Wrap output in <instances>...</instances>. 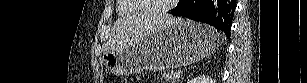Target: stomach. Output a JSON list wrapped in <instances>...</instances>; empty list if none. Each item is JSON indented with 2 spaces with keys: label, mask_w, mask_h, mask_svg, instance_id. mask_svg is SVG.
<instances>
[{
  "label": "stomach",
  "mask_w": 307,
  "mask_h": 83,
  "mask_svg": "<svg viewBox=\"0 0 307 83\" xmlns=\"http://www.w3.org/2000/svg\"><path fill=\"white\" fill-rule=\"evenodd\" d=\"M219 34L207 25L181 19L135 43L105 52L104 65L118 76L186 66L213 53L222 41Z\"/></svg>",
  "instance_id": "stomach-1"
}]
</instances>
